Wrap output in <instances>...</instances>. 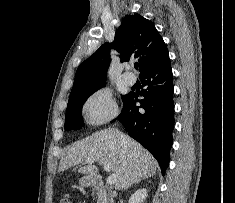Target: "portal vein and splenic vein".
Returning <instances> with one entry per match:
<instances>
[{"instance_id": "obj_1", "label": "portal vein and splenic vein", "mask_w": 235, "mask_h": 203, "mask_svg": "<svg viewBox=\"0 0 235 203\" xmlns=\"http://www.w3.org/2000/svg\"><path fill=\"white\" fill-rule=\"evenodd\" d=\"M93 161H94V159L93 160L87 159V162H93ZM103 165H104V170L110 171V166L108 164L104 163ZM116 180H117L116 175L115 174H110L108 176L106 182H107L108 185H112L116 182Z\"/></svg>"}]
</instances>
